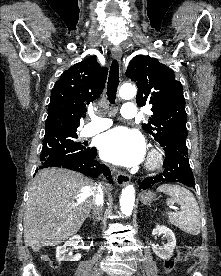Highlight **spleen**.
<instances>
[{
	"label": "spleen",
	"instance_id": "obj_1",
	"mask_svg": "<svg viewBox=\"0 0 221 276\" xmlns=\"http://www.w3.org/2000/svg\"><path fill=\"white\" fill-rule=\"evenodd\" d=\"M157 191L168 194L181 207L179 212L166 213L169 223L190 235H198L201 215L194 195L188 189L172 184L161 185Z\"/></svg>",
	"mask_w": 221,
	"mask_h": 276
}]
</instances>
